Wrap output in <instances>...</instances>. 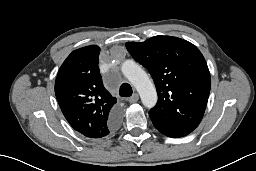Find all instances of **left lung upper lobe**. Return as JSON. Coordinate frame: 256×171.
<instances>
[{
    "mask_svg": "<svg viewBox=\"0 0 256 171\" xmlns=\"http://www.w3.org/2000/svg\"><path fill=\"white\" fill-rule=\"evenodd\" d=\"M126 48L153 77L158 102L149 116L154 126L177 137L191 133L202 120L211 87L210 72L198 48L172 36L127 42Z\"/></svg>",
    "mask_w": 256,
    "mask_h": 171,
    "instance_id": "1",
    "label": "left lung upper lobe"
}]
</instances>
